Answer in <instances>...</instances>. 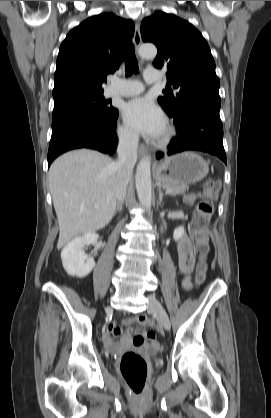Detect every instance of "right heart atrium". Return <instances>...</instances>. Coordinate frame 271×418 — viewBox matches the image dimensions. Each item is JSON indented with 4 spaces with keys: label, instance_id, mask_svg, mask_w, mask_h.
Returning a JSON list of instances; mask_svg holds the SVG:
<instances>
[{
    "label": "right heart atrium",
    "instance_id": "obj_1",
    "mask_svg": "<svg viewBox=\"0 0 271 418\" xmlns=\"http://www.w3.org/2000/svg\"><path fill=\"white\" fill-rule=\"evenodd\" d=\"M120 144L126 149H134L137 145V136L125 125H120L117 130Z\"/></svg>",
    "mask_w": 271,
    "mask_h": 418
}]
</instances>
